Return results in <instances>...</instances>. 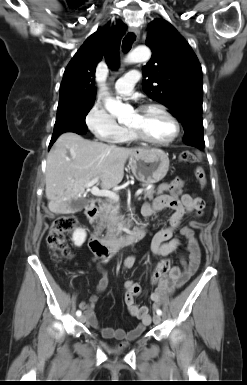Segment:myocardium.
Segmentation results:
<instances>
[{
	"label": "myocardium",
	"instance_id": "1",
	"mask_svg": "<svg viewBox=\"0 0 247 385\" xmlns=\"http://www.w3.org/2000/svg\"><path fill=\"white\" fill-rule=\"evenodd\" d=\"M151 110H158L161 113H163L172 123L174 131L172 136L167 140H153L148 137H146L144 134H142L139 130H137L134 127H128L129 131L133 135V137L137 140H140L144 143L154 145V146H167L172 144L180 135V124L176 117L163 105L160 104H145L138 108V112H147Z\"/></svg>",
	"mask_w": 247,
	"mask_h": 385
}]
</instances>
